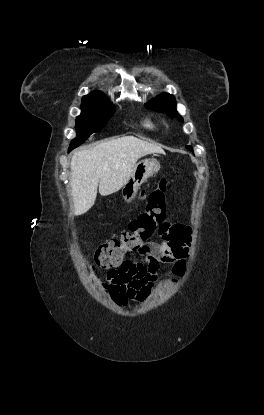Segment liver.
I'll return each instance as SVG.
<instances>
[{
	"label": "liver",
	"instance_id": "1",
	"mask_svg": "<svg viewBox=\"0 0 264 415\" xmlns=\"http://www.w3.org/2000/svg\"><path fill=\"white\" fill-rule=\"evenodd\" d=\"M163 149L134 136H124L76 151L70 162V187L74 215L86 213L95 203L97 189L102 196L120 190L143 156Z\"/></svg>",
	"mask_w": 264,
	"mask_h": 415
}]
</instances>
